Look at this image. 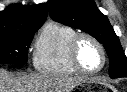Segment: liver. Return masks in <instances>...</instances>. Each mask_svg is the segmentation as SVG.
I'll list each match as a JSON object with an SVG mask.
<instances>
[{
	"label": "liver",
	"mask_w": 127,
	"mask_h": 92,
	"mask_svg": "<svg viewBox=\"0 0 127 92\" xmlns=\"http://www.w3.org/2000/svg\"><path fill=\"white\" fill-rule=\"evenodd\" d=\"M85 80L49 74L14 77L0 69V92H69Z\"/></svg>",
	"instance_id": "1"
}]
</instances>
